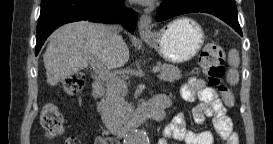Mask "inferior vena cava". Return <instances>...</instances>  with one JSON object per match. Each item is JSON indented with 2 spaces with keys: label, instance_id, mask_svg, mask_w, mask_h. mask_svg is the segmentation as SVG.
I'll list each match as a JSON object with an SVG mask.
<instances>
[{
  "label": "inferior vena cava",
  "instance_id": "1",
  "mask_svg": "<svg viewBox=\"0 0 273 144\" xmlns=\"http://www.w3.org/2000/svg\"><path fill=\"white\" fill-rule=\"evenodd\" d=\"M119 30H120V26L119 25H111L109 26V33L112 37H117L119 36L118 33H119Z\"/></svg>",
  "mask_w": 273,
  "mask_h": 144
}]
</instances>
